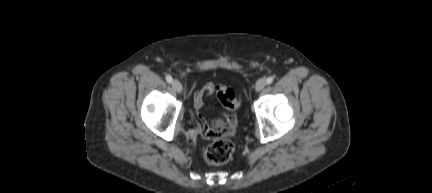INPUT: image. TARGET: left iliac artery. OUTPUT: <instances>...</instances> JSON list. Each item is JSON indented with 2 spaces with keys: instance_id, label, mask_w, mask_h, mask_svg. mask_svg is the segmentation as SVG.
I'll use <instances>...</instances> for the list:
<instances>
[{
  "instance_id": "obj_1",
  "label": "left iliac artery",
  "mask_w": 432,
  "mask_h": 193,
  "mask_svg": "<svg viewBox=\"0 0 432 193\" xmlns=\"http://www.w3.org/2000/svg\"><path fill=\"white\" fill-rule=\"evenodd\" d=\"M273 80H274V78H273L272 76L268 77V78L266 79V84H267V85L271 84V83L273 82Z\"/></svg>"
}]
</instances>
